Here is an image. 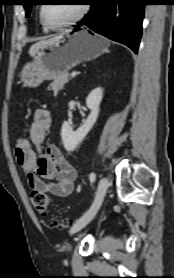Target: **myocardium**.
<instances>
[{
  "mask_svg": "<svg viewBox=\"0 0 174 278\" xmlns=\"http://www.w3.org/2000/svg\"><path fill=\"white\" fill-rule=\"evenodd\" d=\"M45 8H46V5H42L41 8H40V18H41L43 24L48 29L59 30V29L68 27L70 25H73L76 22H78L79 20H81L87 14V12L89 10V5L88 4H83L82 7H81V10L79 11V13L75 17H73L72 19H70L69 21H67L65 23L58 24V25L52 24L47 20L46 15H45Z\"/></svg>",
  "mask_w": 174,
  "mask_h": 278,
  "instance_id": "obj_1",
  "label": "myocardium"
}]
</instances>
